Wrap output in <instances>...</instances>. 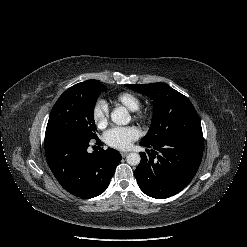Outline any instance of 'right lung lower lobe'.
Masks as SVG:
<instances>
[{"label":"right lung lower lobe","instance_id":"1","mask_svg":"<svg viewBox=\"0 0 247 247\" xmlns=\"http://www.w3.org/2000/svg\"><path fill=\"white\" fill-rule=\"evenodd\" d=\"M94 140L101 143L98 138ZM90 143V140L73 135L45 138V154L52 173L66 191L85 199L96 197L107 189L122 158L112 148L89 153Z\"/></svg>","mask_w":247,"mask_h":247}]
</instances>
